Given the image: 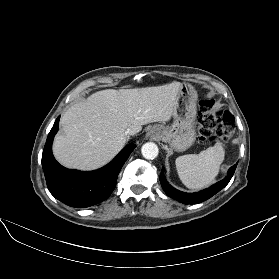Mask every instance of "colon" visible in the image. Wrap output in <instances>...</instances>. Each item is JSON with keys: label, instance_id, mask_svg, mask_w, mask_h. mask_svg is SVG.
Here are the masks:
<instances>
[{"label": "colon", "instance_id": "colon-1", "mask_svg": "<svg viewBox=\"0 0 279 279\" xmlns=\"http://www.w3.org/2000/svg\"><path fill=\"white\" fill-rule=\"evenodd\" d=\"M198 141H213L215 138L228 140L234 132V118L231 113L217 108L211 99L200 103V111L196 120Z\"/></svg>", "mask_w": 279, "mask_h": 279}]
</instances>
